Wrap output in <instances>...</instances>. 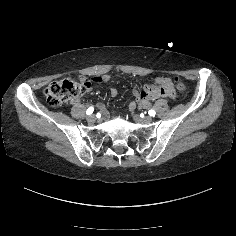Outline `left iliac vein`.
I'll list each match as a JSON object with an SVG mask.
<instances>
[{"instance_id": "1", "label": "left iliac vein", "mask_w": 236, "mask_h": 236, "mask_svg": "<svg viewBox=\"0 0 236 236\" xmlns=\"http://www.w3.org/2000/svg\"><path fill=\"white\" fill-rule=\"evenodd\" d=\"M134 120L137 121V122H145V123H150L152 121V117L150 116H145L143 118H141L140 116L138 115H134Z\"/></svg>"}]
</instances>
